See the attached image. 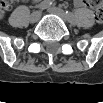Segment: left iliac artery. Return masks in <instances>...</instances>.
Wrapping results in <instances>:
<instances>
[{"instance_id":"44dca946","label":"left iliac artery","mask_w":103,"mask_h":103,"mask_svg":"<svg viewBox=\"0 0 103 103\" xmlns=\"http://www.w3.org/2000/svg\"><path fill=\"white\" fill-rule=\"evenodd\" d=\"M66 14H67L70 22H72V23L76 22V18H75V16H74L73 13H71V12H69V11H66Z\"/></svg>"}]
</instances>
